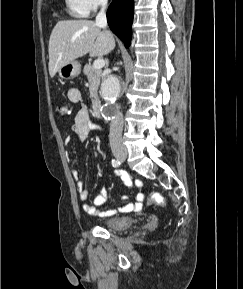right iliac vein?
Segmentation results:
<instances>
[{"label": "right iliac vein", "instance_id": "63e3f726", "mask_svg": "<svg viewBox=\"0 0 243 289\" xmlns=\"http://www.w3.org/2000/svg\"><path fill=\"white\" fill-rule=\"evenodd\" d=\"M115 157L118 159V160H125L127 158V152L126 151H120V152H117L115 154Z\"/></svg>", "mask_w": 243, "mask_h": 289}]
</instances>
